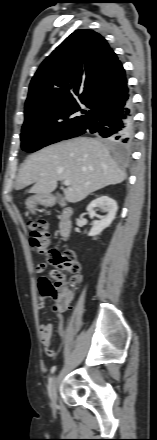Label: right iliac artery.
I'll return each instance as SVG.
<instances>
[{"label":"right iliac artery","instance_id":"1","mask_svg":"<svg viewBox=\"0 0 157 440\" xmlns=\"http://www.w3.org/2000/svg\"><path fill=\"white\" fill-rule=\"evenodd\" d=\"M55 371H56V366H53V367L51 368V374H53Z\"/></svg>","mask_w":157,"mask_h":440}]
</instances>
